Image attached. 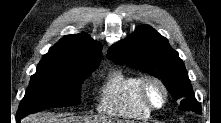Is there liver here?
<instances>
[{
  "label": "liver",
  "mask_w": 221,
  "mask_h": 123,
  "mask_svg": "<svg viewBox=\"0 0 221 123\" xmlns=\"http://www.w3.org/2000/svg\"><path fill=\"white\" fill-rule=\"evenodd\" d=\"M92 120L90 119H74V118H58L53 114L49 113H37L31 116H28L22 120V123H89ZM105 121V120H103ZM114 123V122H113ZM117 123H122L121 121H117Z\"/></svg>",
  "instance_id": "1"
}]
</instances>
